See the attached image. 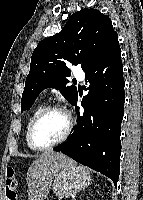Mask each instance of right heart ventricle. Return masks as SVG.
I'll return each instance as SVG.
<instances>
[{"label":"right heart ventricle","instance_id":"1","mask_svg":"<svg viewBox=\"0 0 143 200\" xmlns=\"http://www.w3.org/2000/svg\"><path fill=\"white\" fill-rule=\"evenodd\" d=\"M44 107L42 105H39L37 106L33 112L31 113L28 121H27V124H26V130H25V138H26V142H27V145L30 147L29 143H28V138H27V133H28V129H29V126H30V123L32 122V120L35 118V116L43 109ZM31 148V147H30Z\"/></svg>","mask_w":143,"mask_h":200}]
</instances>
